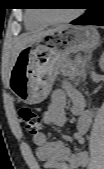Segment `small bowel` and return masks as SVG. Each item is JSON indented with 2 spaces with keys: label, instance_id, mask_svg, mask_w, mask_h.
Instances as JSON below:
<instances>
[{
  "label": "small bowel",
  "instance_id": "1",
  "mask_svg": "<svg viewBox=\"0 0 104 169\" xmlns=\"http://www.w3.org/2000/svg\"><path fill=\"white\" fill-rule=\"evenodd\" d=\"M67 98L72 102V113L78 118L73 138L82 144L92 123L93 113L85 108L84 97L74 86L69 85L65 89L53 91L43 114V122L51 126H64L67 121ZM33 142L36 145V155L44 163L45 169H77L88 163L87 152H74L60 141L50 142L43 133L34 136Z\"/></svg>",
  "mask_w": 104,
  "mask_h": 169
}]
</instances>
